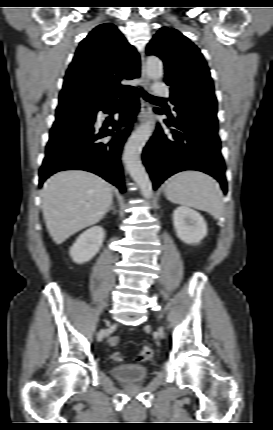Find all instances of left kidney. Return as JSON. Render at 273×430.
Segmentation results:
<instances>
[{
    "label": "left kidney",
    "instance_id": "obj_1",
    "mask_svg": "<svg viewBox=\"0 0 273 430\" xmlns=\"http://www.w3.org/2000/svg\"><path fill=\"white\" fill-rule=\"evenodd\" d=\"M173 225L177 237L186 244H199L207 235V223L203 216L189 207L176 208Z\"/></svg>",
    "mask_w": 273,
    "mask_h": 430
}]
</instances>
